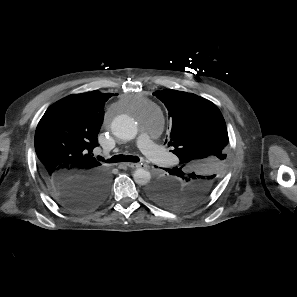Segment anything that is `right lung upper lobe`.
I'll return each instance as SVG.
<instances>
[{
  "mask_svg": "<svg viewBox=\"0 0 297 297\" xmlns=\"http://www.w3.org/2000/svg\"><path fill=\"white\" fill-rule=\"evenodd\" d=\"M112 93L69 95L50 106L39 121L35 150L47 185L55 177L80 179L102 171L93 157L103 122L104 104Z\"/></svg>",
  "mask_w": 297,
  "mask_h": 297,
  "instance_id": "right-lung-upper-lobe-1",
  "label": "right lung upper lobe"
}]
</instances>
